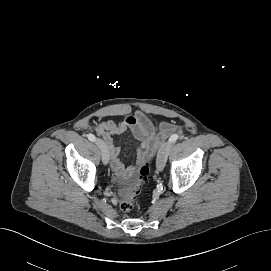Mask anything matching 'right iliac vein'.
<instances>
[{
  "mask_svg": "<svg viewBox=\"0 0 271 271\" xmlns=\"http://www.w3.org/2000/svg\"><path fill=\"white\" fill-rule=\"evenodd\" d=\"M95 143L101 151L102 162H103V164L106 165L109 162L108 147H107L106 143L100 138L96 139Z\"/></svg>",
  "mask_w": 271,
  "mask_h": 271,
  "instance_id": "obj_1",
  "label": "right iliac vein"
}]
</instances>
